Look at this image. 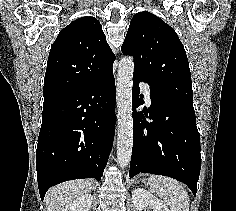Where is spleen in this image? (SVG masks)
<instances>
[{
	"mask_svg": "<svg viewBox=\"0 0 236 211\" xmlns=\"http://www.w3.org/2000/svg\"><path fill=\"white\" fill-rule=\"evenodd\" d=\"M148 184L166 202L171 211H189V195L178 181L166 176L151 175Z\"/></svg>",
	"mask_w": 236,
	"mask_h": 211,
	"instance_id": "obj_1",
	"label": "spleen"
}]
</instances>
